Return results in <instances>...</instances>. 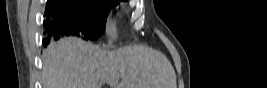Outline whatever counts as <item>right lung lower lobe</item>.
<instances>
[{"instance_id":"obj_1","label":"right lung lower lobe","mask_w":267,"mask_h":88,"mask_svg":"<svg viewBox=\"0 0 267 88\" xmlns=\"http://www.w3.org/2000/svg\"><path fill=\"white\" fill-rule=\"evenodd\" d=\"M47 27L46 38L43 40L44 44L47 45L49 41L58 40L61 36H83L80 31H78L70 22L63 20H53L47 18L45 23ZM84 37V36H83ZM85 40H96L95 37L86 36Z\"/></svg>"}]
</instances>
